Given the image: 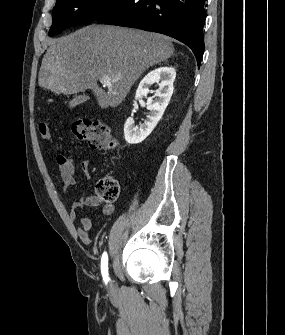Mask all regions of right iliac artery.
I'll return each mask as SVG.
<instances>
[{
	"label": "right iliac artery",
	"instance_id": "1",
	"mask_svg": "<svg viewBox=\"0 0 285 335\" xmlns=\"http://www.w3.org/2000/svg\"><path fill=\"white\" fill-rule=\"evenodd\" d=\"M101 273L103 276V280L107 283L109 277H108V255L106 252L103 253L101 258Z\"/></svg>",
	"mask_w": 285,
	"mask_h": 335
}]
</instances>
